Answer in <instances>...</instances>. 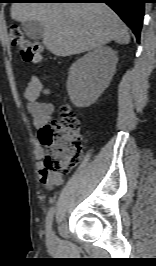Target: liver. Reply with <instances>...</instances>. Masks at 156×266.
Masks as SVG:
<instances>
[{
	"instance_id": "obj_1",
	"label": "liver",
	"mask_w": 156,
	"mask_h": 266,
	"mask_svg": "<svg viewBox=\"0 0 156 266\" xmlns=\"http://www.w3.org/2000/svg\"><path fill=\"white\" fill-rule=\"evenodd\" d=\"M15 21H38L43 44L56 56L80 54L115 41L128 44V28L104 3H13Z\"/></svg>"
}]
</instances>
